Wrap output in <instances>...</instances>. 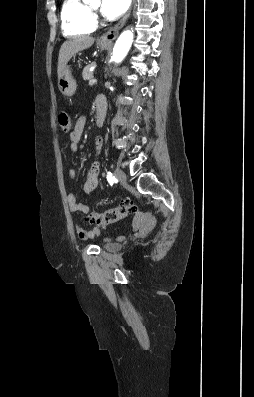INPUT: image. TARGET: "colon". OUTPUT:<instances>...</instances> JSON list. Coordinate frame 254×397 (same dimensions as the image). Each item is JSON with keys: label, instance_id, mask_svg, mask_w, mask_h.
I'll use <instances>...</instances> for the list:
<instances>
[{"label": "colon", "instance_id": "1", "mask_svg": "<svg viewBox=\"0 0 254 397\" xmlns=\"http://www.w3.org/2000/svg\"><path fill=\"white\" fill-rule=\"evenodd\" d=\"M58 123L63 132H68L71 129V122L66 112L59 114ZM136 211L137 206L133 202H125L102 212H93L88 216V220L101 226H107L122 220Z\"/></svg>", "mask_w": 254, "mask_h": 397}]
</instances>
